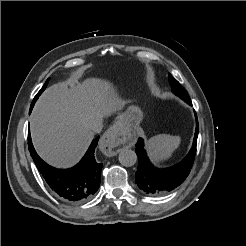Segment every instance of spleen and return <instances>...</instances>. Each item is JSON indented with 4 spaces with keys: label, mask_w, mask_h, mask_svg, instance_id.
<instances>
[{
    "label": "spleen",
    "mask_w": 246,
    "mask_h": 246,
    "mask_svg": "<svg viewBox=\"0 0 246 246\" xmlns=\"http://www.w3.org/2000/svg\"><path fill=\"white\" fill-rule=\"evenodd\" d=\"M180 136L160 134L149 139L147 149L151 160L161 163L168 160L173 152L179 147Z\"/></svg>",
    "instance_id": "3e777b00"
}]
</instances>
